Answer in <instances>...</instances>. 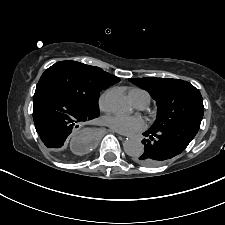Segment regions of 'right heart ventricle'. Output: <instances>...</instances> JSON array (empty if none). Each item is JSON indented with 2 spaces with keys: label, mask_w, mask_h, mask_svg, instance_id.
<instances>
[{
  "label": "right heart ventricle",
  "mask_w": 225,
  "mask_h": 225,
  "mask_svg": "<svg viewBox=\"0 0 225 225\" xmlns=\"http://www.w3.org/2000/svg\"><path fill=\"white\" fill-rule=\"evenodd\" d=\"M135 91H142V92H145V91L140 90V89H133V90L130 91V93L135 92ZM130 93H129V95H130Z\"/></svg>",
  "instance_id": "obj_1"
}]
</instances>
